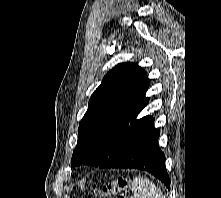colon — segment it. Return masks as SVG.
I'll return each instance as SVG.
<instances>
[{"instance_id":"obj_1","label":"colon","mask_w":221,"mask_h":198,"mask_svg":"<svg viewBox=\"0 0 221 198\" xmlns=\"http://www.w3.org/2000/svg\"><path fill=\"white\" fill-rule=\"evenodd\" d=\"M98 198H133L129 181L124 177H118L111 183L96 191Z\"/></svg>"}]
</instances>
